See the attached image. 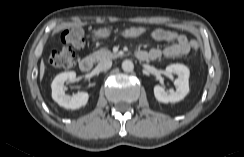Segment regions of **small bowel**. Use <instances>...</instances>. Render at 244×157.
<instances>
[{"label":"small bowel","instance_id":"small-bowel-1","mask_svg":"<svg viewBox=\"0 0 244 157\" xmlns=\"http://www.w3.org/2000/svg\"><path fill=\"white\" fill-rule=\"evenodd\" d=\"M149 39L156 42H168V46L163 49L152 48L149 51L141 50L139 52L147 55L146 59L156 60L161 56L168 58L184 56L189 53L191 42L189 39L178 32L164 29H155L145 34Z\"/></svg>","mask_w":244,"mask_h":157}]
</instances>
